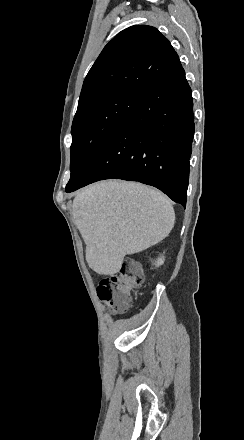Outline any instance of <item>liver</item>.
I'll use <instances>...</instances> for the list:
<instances>
[{"mask_svg": "<svg viewBox=\"0 0 244 440\" xmlns=\"http://www.w3.org/2000/svg\"><path fill=\"white\" fill-rule=\"evenodd\" d=\"M72 214L86 244V262L100 276L118 274L127 254L159 244L175 222L165 194L123 180H104L80 190Z\"/></svg>", "mask_w": 244, "mask_h": 440, "instance_id": "liver-1", "label": "liver"}]
</instances>
